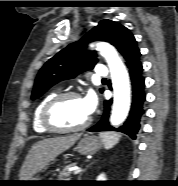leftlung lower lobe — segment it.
Returning a JSON list of instances; mask_svg holds the SVG:
<instances>
[{
	"mask_svg": "<svg viewBox=\"0 0 178 186\" xmlns=\"http://www.w3.org/2000/svg\"><path fill=\"white\" fill-rule=\"evenodd\" d=\"M141 54H137L136 56L129 59L126 63L129 75L131 78L132 84V104L131 109L129 111V115L122 126L119 128H114L109 123V111L111 101L104 102V113L101 120L88 129V131H119L127 134L132 139H136V136L140 130V121L144 114V101L146 98L144 88H145V79L142 76L143 67L140 62Z\"/></svg>",
	"mask_w": 178,
	"mask_h": 186,
	"instance_id": "0a47b994",
	"label": "left lung lower lobe"
}]
</instances>
